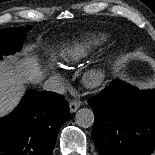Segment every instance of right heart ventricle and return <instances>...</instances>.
<instances>
[{
    "label": "right heart ventricle",
    "instance_id": "right-heart-ventricle-1",
    "mask_svg": "<svg viewBox=\"0 0 155 155\" xmlns=\"http://www.w3.org/2000/svg\"><path fill=\"white\" fill-rule=\"evenodd\" d=\"M108 39L105 34L89 35L82 40L67 45L59 51V58L66 65H74L89 57L98 47Z\"/></svg>",
    "mask_w": 155,
    "mask_h": 155
}]
</instances>
